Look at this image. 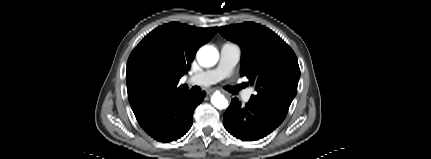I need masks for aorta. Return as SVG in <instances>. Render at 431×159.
Wrapping results in <instances>:
<instances>
[{"label":"aorta","instance_id":"aorta-1","mask_svg":"<svg viewBox=\"0 0 431 159\" xmlns=\"http://www.w3.org/2000/svg\"><path fill=\"white\" fill-rule=\"evenodd\" d=\"M218 59V51L212 46L205 45L197 52V60L201 66L211 67L217 63ZM211 103L217 109H226L228 107V100L220 92H215L213 94Z\"/></svg>","mask_w":431,"mask_h":159}]
</instances>
